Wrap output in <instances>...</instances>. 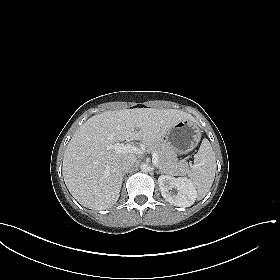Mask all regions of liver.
<instances>
[{"label":"liver","instance_id":"1","mask_svg":"<svg viewBox=\"0 0 280 280\" xmlns=\"http://www.w3.org/2000/svg\"><path fill=\"white\" fill-rule=\"evenodd\" d=\"M193 120L177 109L134 108L106 111L89 118L74 133L64 153L63 177L72 196L84 207L111 208L123 181L120 163L130 153L106 146L124 140L144 143L161 139L176 123Z\"/></svg>","mask_w":280,"mask_h":280}]
</instances>
